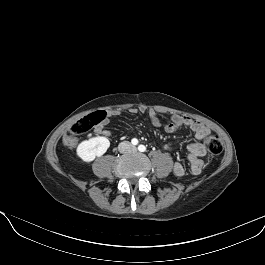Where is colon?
I'll use <instances>...</instances> for the list:
<instances>
[{
  "label": "colon",
  "instance_id": "5ec220e1",
  "mask_svg": "<svg viewBox=\"0 0 265 265\" xmlns=\"http://www.w3.org/2000/svg\"><path fill=\"white\" fill-rule=\"evenodd\" d=\"M106 114L103 111H94L80 120H78L66 133L64 137V144L68 147H74L77 144L78 137L95 126H97L104 118ZM204 144L210 154L218 156L223 151V144L219 136L215 134L208 135Z\"/></svg>",
  "mask_w": 265,
  "mask_h": 265
}]
</instances>
